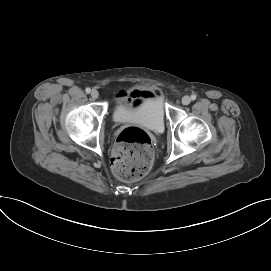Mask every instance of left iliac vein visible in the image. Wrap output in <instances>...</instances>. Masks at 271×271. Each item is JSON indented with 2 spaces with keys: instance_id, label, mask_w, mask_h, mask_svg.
<instances>
[{
  "instance_id": "left-iliac-vein-1",
  "label": "left iliac vein",
  "mask_w": 271,
  "mask_h": 271,
  "mask_svg": "<svg viewBox=\"0 0 271 271\" xmlns=\"http://www.w3.org/2000/svg\"><path fill=\"white\" fill-rule=\"evenodd\" d=\"M191 102V98L189 96H184L182 98V104L183 105H188Z\"/></svg>"
}]
</instances>
